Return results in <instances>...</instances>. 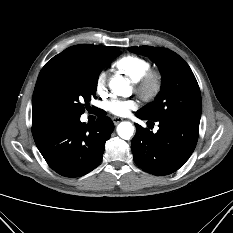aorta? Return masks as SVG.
Masks as SVG:
<instances>
[{
  "label": "aorta",
  "mask_w": 233,
  "mask_h": 233,
  "mask_svg": "<svg viewBox=\"0 0 233 233\" xmlns=\"http://www.w3.org/2000/svg\"><path fill=\"white\" fill-rule=\"evenodd\" d=\"M109 86L116 95L127 97L131 92L127 80L119 75L111 79ZM117 133L122 139L128 140L134 133V127L130 122H121L117 127Z\"/></svg>",
  "instance_id": "obj_1"
}]
</instances>
